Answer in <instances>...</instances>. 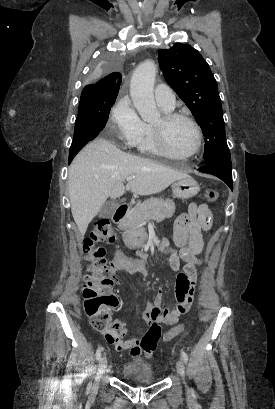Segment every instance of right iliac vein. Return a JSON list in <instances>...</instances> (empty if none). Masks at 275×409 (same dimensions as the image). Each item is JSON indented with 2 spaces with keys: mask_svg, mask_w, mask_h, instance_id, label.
I'll use <instances>...</instances> for the list:
<instances>
[{
  "mask_svg": "<svg viewBox=\"0 0 275 409\" xmlns=\"http://www.w3.org/2000/svg\"><path fill=\"white\" fill-rule=\"evenodd\" d=\"M106 366H107V358H106L105 356H103V357L101 358V360H100V363H99V368H98L99 374L97 375V377H96V379H95V381H94V386H95V387H98V386H99V384H100V379H101V377H102L103 372H104L105 369H106Z\"/></svg>",
  "mask_w": 275,
  "mask_h": 409,
  "instance_id": "1",
  "label": "right iliac vein"
}]
</instances>
